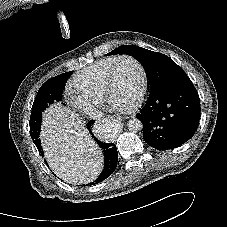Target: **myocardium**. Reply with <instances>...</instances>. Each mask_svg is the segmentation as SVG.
<instances>
[{"label": "myocardium", "instance_id": "f54148a6", "mask_svg": "<svg viewBox=\"0 0 227 227\" xmlns=\"http://www.w3.org/2000/svg\"><path fill=\"white\" fill-rule=\"evenodd\" d=\"M123 60H130V61L134 62L137 65V67L140 71V74H141L142 82H141V89H140L139 95L137 96V98L134 100L133 103H131L130 105L127 106V109L131 110V109L136 108L143 102L144 98L146 97L147 91H148V76H147L146 69H145L144 65L141 63V61L132 55H121V56L117 57L116 60L114 61V63L111 65V67L106 75L105 82H104L103 99L107 105L113 106V103L111 101V90H112V86L114 83L116 69H117L119 63Z\"/></svg>", "mask_w": 227, "mask_h": 227}]
</instances>
